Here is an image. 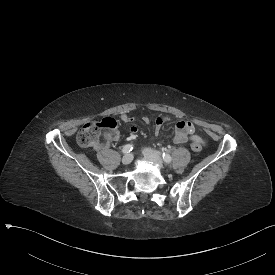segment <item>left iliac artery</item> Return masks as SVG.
Segmentation results:
<instances>
[{"mask_svg": "<svg viewBox=\"0 0 275 275\" xmlns=\"http://www.w3.org/2000/svg\"><path fill=\"white\" fill-rule=\"evenodd\" d=\"M162 158L166 163H170L171 160H172L171 156L168 153H165V152L162 153Z\"/></svg>", "mask_w": 275, "mask_h": 275, "instance_id": "left-iliac-artery-1", "label": "left iliac artery"}]
</instances>
